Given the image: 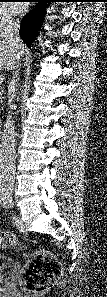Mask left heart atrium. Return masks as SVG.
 <instances>
[{
  "mask_svg": "<svg viewBox=\"0 0 107 297\" xmlns=\"http://www.w3.org/2000/svg\"><path fill=\"white\" fill-rule=\"evenodd\" d=\"M25 5L22 3H10L9 10L15 14H20L25 11Z\"/></svg>",
  "mask_w": 107,
  "mask_h": 297,
  "instance_id": "39dd6f15",
  "label": "left heart atrium"
}]
</instances>
